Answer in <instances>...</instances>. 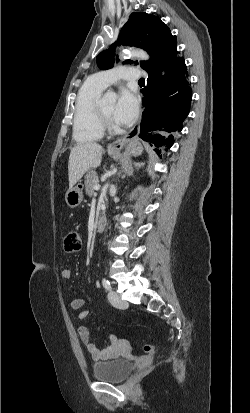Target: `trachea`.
Instances as JSON below:
<instances>
[{
    "label": "trachea",
    "mask_w": 250,
    "mask_h": 413,
    "mask_svg": "<svg viewBox=\"0 0 250 413\" xmlns=\"http://www.w3.org/2000/svg\"><path fill=\"white\" fill-rule=\"evenodd\" d=\"M138 83H145V80L143 78H141Z\"/></svg>",
    "instance_id": "1"
}]
</instances>
